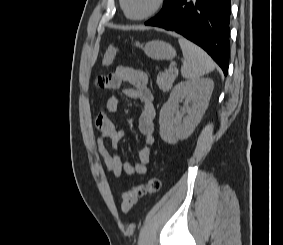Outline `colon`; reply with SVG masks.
Returning a JSON list of instances; mask_svg holds the SVG:
<instances>
[{
	"mask_svg": "<svg viewBox=\"0 0 283 245\" xmlns=\"http://www.w3.org/2000/svg\"><path fill=\"white\" fill-rule=\"evenodd\" d=\"M118 53V48L114 46L108 47L102 55L101 64L103 66H108L114 61ZM160 189L161 181L157 176H154L151 177L147 182L138 183L130 189L124 191L121 198L122 212L128 214L129 212H131L139 199L147 194L157 193Z\"/></svg>",
	"mask_w": 283,
	"mask_h": 245,
	"instance_id": "colon-1",
	"label": "colon"
}]
</instances>
